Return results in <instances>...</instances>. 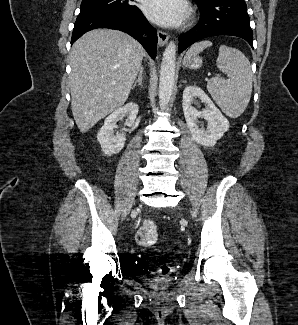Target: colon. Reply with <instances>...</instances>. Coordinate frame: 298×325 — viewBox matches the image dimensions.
<instances>
[{"label": "colon", "instance_id": "obj_1", "mask_svg": "<svg viewBox=\"0 0 298 325\" xmlns=\"http://www.w3.org/2000/svg\"><path fill=\"white\" fill-rule=\"evenodd\" d=\"M158 237V229L152 221H146L138 229L136 233V240L141 246L153 245Z\"/></svg>", "mask_w": 298, "mask_h": 325}]
</instances>
